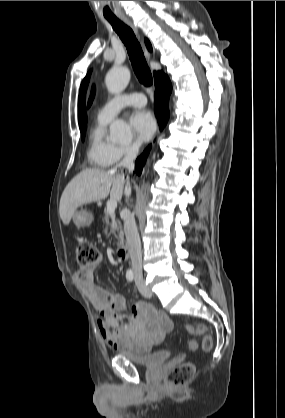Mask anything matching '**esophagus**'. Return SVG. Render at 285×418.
<instances>
[{"label":"esophagus","instance_id":"1","mask_svg":"<svg viewBox=\"0 0 285 418\" xmlns=\"http://www.w3.org/2000/svg\"><path fill=\"white\" fill-rule=\"evenodd\" d=\"M121 18L135 31V33L139 36L138 33V28L137 26L131 21L129 20L125 15H121ZM143 50H144V54L146 59L149 61L151 59V55L149 53V51L147 50V48L145 47V45H143Z\"/></svg>","mask_w":285,"mask_h":418}]
</instances>
